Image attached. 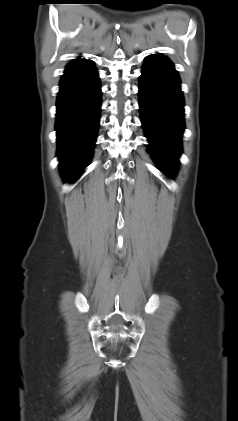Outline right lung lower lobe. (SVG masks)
Segmentation results:
<instances>
[{
	"mask_svg": "<svg viewBox=\"0 0 238 421\" xmlns=\"http://www.w3.org/2000/svg\"><path fill=\"white\" fill-rule=\"evenodd\" d=\"M100 106L96 68L90 60H73L62 76L57 98V156L65 181L76 179L92 157Z\"/></svg>",
	"mask_w": 238,
	"mask_h": 421,
	"instance_id": "right-lung-lower-lobe-1",
	"label": "right lung lower lobe"
}]
</instances>
